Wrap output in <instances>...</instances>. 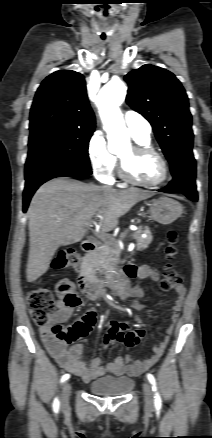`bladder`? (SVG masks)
I'll list each match as a JSON object with an SVG mask.
<instances>
[{
    "label": "bladder",
    "instance_id": "obj_1",
    "mask_svg": "<svg viewBox=\"0 0 212 438\" xmlns=\"http://www.w3.org/2000/svg\"><path fill=\"white\" fill-rule=\"evenodd\" d=\"M133 382L129 377H99L89 384V390L99 396H121L132 390Z\"/></svg>",
    "mask_w": 212,
    "mask_h": 438
}]
</instances>
